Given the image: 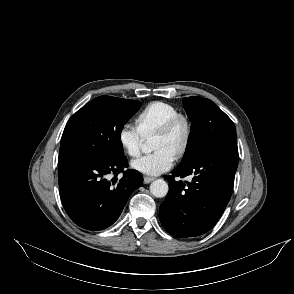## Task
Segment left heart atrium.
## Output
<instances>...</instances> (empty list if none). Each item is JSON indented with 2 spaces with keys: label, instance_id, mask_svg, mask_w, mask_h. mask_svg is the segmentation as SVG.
Returning a JSON list of instances; mask_svg holds the SVG:
<instances>
[{
  "label": "left heart atrium",
  "instance_id": "1",
  "mask_svg": "<svg viewBox=\"0 0 294 294\" xmlns=\"http://www.w3.org/2000/svg\"><path fill=\"white\" fill-rule=\"evenodd\" d=\"M176 155L169 149H158L131 162V167L147 175H160L174 164Z\"/></svg>",
  "mask_w": 294,
  "mask_h": 294
}]
</instances>
